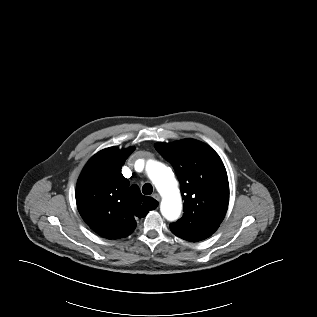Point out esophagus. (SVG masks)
<instances>
[{"label": "esophagus", "mask_w": 317, "mask_h": 317, "mask_svg": "<svg viewBox=\"0 0 317 317\" xmlns=\"http://www.w3.org/2000/svg\"><path fill=\"white\" fill-rule=\"evenodd\" d=\"M155 200L160 201L161 197L158 193L153 194L152 196Z\"/></svg>", "instance_id": "1"}]
</instances>
